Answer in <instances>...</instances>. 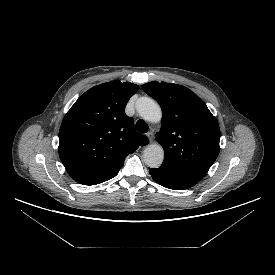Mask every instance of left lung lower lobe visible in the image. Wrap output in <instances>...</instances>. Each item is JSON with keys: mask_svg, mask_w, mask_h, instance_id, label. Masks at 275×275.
<instances>
[{"mask_svg": "<svg viewBox=\"0 0 275 275\" xmlns=\"http://www.w3.org/2000/svg\"><path fill=\"white\" fill-rule=\"evenodd\" d=\"M149 173L157 183L173 190L188 189L199 181L193 176L164 165L156 169H149Z\"/></svg>", "mask_w": 275, "mask_h": 275, "instance_id": "obj_1", "label": "left lung lower lobe"}]
</instances>
